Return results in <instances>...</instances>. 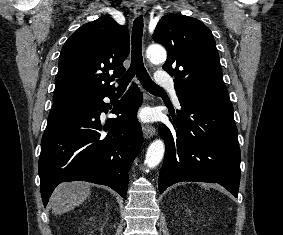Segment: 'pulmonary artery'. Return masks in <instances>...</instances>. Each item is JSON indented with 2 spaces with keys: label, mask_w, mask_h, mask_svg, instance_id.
<instances>
[{
  "label": "pulmonary artery",
  "mask_w": 283,
  "mask_h": 235,
  "mask_svg": "<svg viewBox=\"0 0 283 235\" xmlns=\"http://www.w3.org/2000/svg\"><path fill=\"white\" fill-rule=\"evenodd\" d=\"M157 81H158V84L161 85V86H164V87H167L169 88L170 90H172L174 92V85H173V81L172 79H170L165 72H159L157 73ZM173 99H174V102L176 104H179L178 102V99L176 97V95L174 94L173 95Z\"/></svg>",
  "instance_id": "e3ab8cb5"
}]
</instances>
